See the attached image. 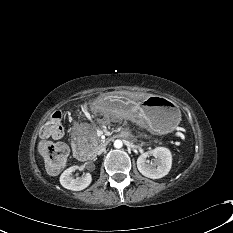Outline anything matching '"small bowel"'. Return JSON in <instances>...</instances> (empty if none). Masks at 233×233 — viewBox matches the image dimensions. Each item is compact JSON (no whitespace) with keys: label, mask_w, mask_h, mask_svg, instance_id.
<instances>
[{"label":"small bowel","mask_w":233,"mask_h":233,"mask_svg":"<svg viewBox=\"0 0 233 233\" xmlns=\"http://www.w3.org/2000/svg\"><path fill=\"white\" fill-rule=\"evenodd\" d=\"M62 135H63V133L61 132L60 134L55 135V136H53L52 138H53V139H59V138L62 137Z\"/></svg>","instance_id":"obj_1"}]
</instances>
